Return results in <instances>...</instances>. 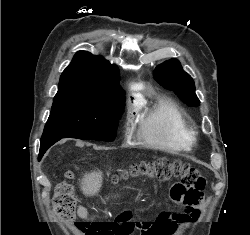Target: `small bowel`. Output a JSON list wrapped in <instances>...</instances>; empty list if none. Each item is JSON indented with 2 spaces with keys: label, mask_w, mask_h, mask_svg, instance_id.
Masks as SVG:
<instances>
[{
  "label": "small bowel",
  "mask_w": 250,
  "mask_h": 235,
  "mask_svg": "<svg viewBox=\"0 0 250 235\" xmlns=\"http://www.w3.org/2000/svg\"><path fill=\"white\" fill-rule=\"evenodd\" d=\"M201 210V202L197 206L182 204L181 209L175 210L173 213H166L161 216L158 220L166 225V232L164 233V235H175L182 224L186 222H194L195 220H197ZM78 214L81 218H85L87 216V209L82 206L79 207Z\"/></svg>",
  "instance_id": "1"
}]
</instances>
